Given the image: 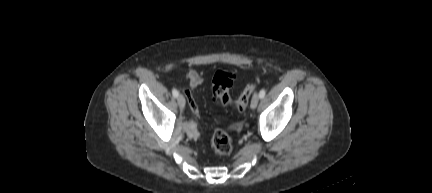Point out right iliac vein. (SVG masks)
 Wrapping results in <instances>:
<instances>
[{
  "mask_svg": "<svg viewBox=\"0 0 432 193\" xmlns=\"http://www.w3.org/2000/svg\"><path fill=\"white\" fill-rule=\"evenodd\" d=\"M177 102H178V105H179V107L180 108H184L185 107V98H184V96L183 95H179L178 96V98H177Z\"/></svg>",
  "mask_w": 432,
  "mask_h": 193,
  "instance_id": "1",
  "label": "right iliac vein"
}]
</instances>
